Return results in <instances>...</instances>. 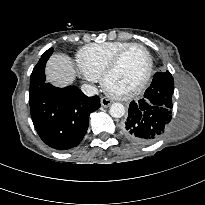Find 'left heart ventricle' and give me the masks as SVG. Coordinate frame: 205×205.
<instances>
[{
  "mask_svg": "<svg viewBox=\"0 0 205 205\" xmlns=\"http://www.w3.org/2000/svg\"><path fill=\"white\" fill-rule=\"evenodd\" d=\"M147 67L146 53L141 48H133L124 55L117 69L109 77L107 85L112 91L127 92L140 83Z\"/></svg>",
  "mask_w": 205,
  "mask_h": 205,
  "instance_id": "b2bd125f",
  "label": "left heart ventricle"
}]
</instances>
